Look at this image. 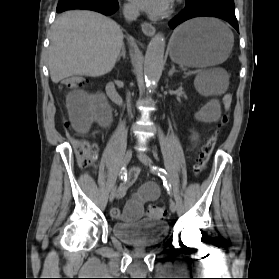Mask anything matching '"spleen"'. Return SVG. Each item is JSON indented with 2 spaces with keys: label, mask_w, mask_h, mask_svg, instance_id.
Masks as SVG:
<instances>
[{
  "label": "spleen",
  "mask_w": 279,
  "mask_h": 279,
  "mask_svg": "<svg viewBox=\"0 0 279 279\" xmlns=\"http://www.w3.org/2000/svg\"><path fill=\"white\" fill-rule=\"evenodd\" d=\"M220 25L223 27L224 31L226 33L232 34V32L229 30V28L220 22ZM233 36V34H232ZM216 73V71L213 70H207L204 71L202 74H200L196 80L195 85L196 88L205 94H221L224 93L227 86H228V78L225 76L220 79H213V75Z\"/></svg>",
  "instance_id": "spleen-1"
}]
</instances>
